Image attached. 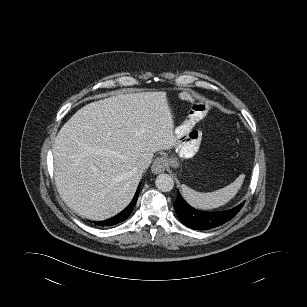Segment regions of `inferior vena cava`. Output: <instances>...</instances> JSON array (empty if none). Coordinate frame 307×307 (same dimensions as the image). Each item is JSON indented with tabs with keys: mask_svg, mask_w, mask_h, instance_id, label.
I'll list each match as a JSON object with an SVG mask.
<instances>
[{
	"mask_svg": "<svg viewBox=\"0 0 307 307\" xmlns=\"http://www.w3.org/2000/svg\"><path fill=\"white\" fill-rule=\"evenodd\" d=\"M149 166V163L146 161V160H142V161H139L137 163V170L140 172V173H143V171Z\"/></svg>",
	"mask_w": 307,
	"mask_h": 307,
	"instance_id": "obj_1",
	"label": "inferior vena cava"
}]
</instances>
